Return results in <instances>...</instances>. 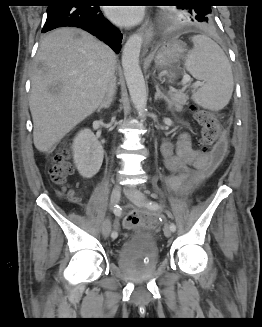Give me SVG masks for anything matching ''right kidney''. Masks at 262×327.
Masks as SVG:
<instances>
[{
	"label": "right kidney",
	"instance_id": "ca27d5eb",
	"mask_svg": "<svg viewBox=\"0 0 262 327\" xmlns=\"http://www.w3.org/2000/svg\"><path fill=\"white\" fill-rule=\"evenodd\" d=\"M74 163L84 178H91L101 168L104 150L90 129L81 130L73 141Z\"/></svg>",
	"mask_w": 262,
	"mask_h": 327
}]
</instances>
